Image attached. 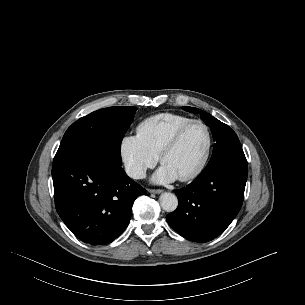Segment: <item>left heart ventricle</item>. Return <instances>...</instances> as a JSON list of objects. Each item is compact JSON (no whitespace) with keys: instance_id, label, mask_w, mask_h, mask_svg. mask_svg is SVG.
Segmentation results:
<instances>
[{"instance_id":"1","label":"left heart ventricle","mask_w":305,"mask_h":305,"mask_svg":"<svg viewBox=\"0 0 305 305\" xmlns=\"http://www.w3.org/2000/svg\"><path fill=\"white\" fill-rule=\"evenodd\" d=\"M207 135L203 126L194 124L182 135L178 145L163 160V165L182 177L193 171L205 152Z\"/></svg>"}]
</instances>
